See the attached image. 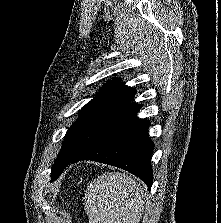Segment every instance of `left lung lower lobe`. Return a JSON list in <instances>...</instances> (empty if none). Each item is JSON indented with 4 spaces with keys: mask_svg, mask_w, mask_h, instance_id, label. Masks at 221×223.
<instances>
[{
    "mask_svg": "<svg viewBox=\"0 0 221 223\" xmlns=\"http://www.w3.org/2000/svg\"><path fill=\"white\" fill-rule=\"evenodd\" d=\"M141 107L142 104L136 105L116 120L70 163L93 160L120 167L140 177L150 189L153 182L151 155L154 144L148 135L150 122L136 116Z\"/></svg>",
    "mask_w": 221,
    "mask_h": 223,
    "instance_id": "obj_1",
    "label": "left lung lower lobe"
}]
</instances>
